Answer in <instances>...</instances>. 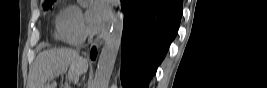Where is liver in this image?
<instances>
[{
    "label": "liver",
    "instance_id": "obj_1",
    "mask_svg": "<svg viewBox=\"0 0 267 88\" xmlns=\"http://www.w3.org/2000/svg\"><path fill=\"white\" fill-rule=\"evenodd\" d=\"M68 67V78L76 83L79 76L87 72L88 62L71 49H51L40 53L33 63L28 81L29 88H56V82H49L58 71L64 73Z\"/></svg>",
    "mask_w": 267,
    "mask_h": 88
}]
</instances>
